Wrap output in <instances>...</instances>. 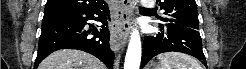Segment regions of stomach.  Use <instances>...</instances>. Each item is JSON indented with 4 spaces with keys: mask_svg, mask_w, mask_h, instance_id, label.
<instances>
[{
    "mask_svg": "<svg viewBox=\"0 0 246 69\" xmlns=\"http://www.w3.org/2000/svg\"><path fill=\"white\" fill-rule=\"evenodd\" d=\"M155 69H162V68H160V67H157V68H155Z\"/></svg>",
    "mask_w": 246,
    "mask_h": 69,
    "instance_id": "stomach-1",
    "label": "stomach"
}]
</instances>
